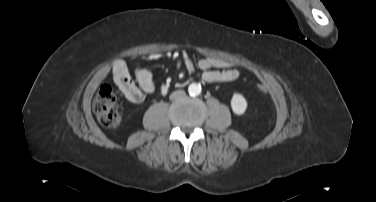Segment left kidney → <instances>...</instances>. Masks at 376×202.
Instances as JSON below:
<instances>
[{
  "mask_svg": "<svg viewBox=\"0 0 376 202\" xmlns=\"http://www.w3.org/2000/svg\"><path fill=\"white\" fill-rule=\"evenodd\" d=\"M231 107L235 114L241 115L246 111L247 101L242 95L235 93L231 99Z\"/></svg>",
  "mask_w": 376,
  "mask_h": 202,
  "instance_id": "obj_1",
  "label": "left kidney"
}]
</instances>
